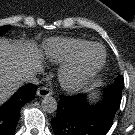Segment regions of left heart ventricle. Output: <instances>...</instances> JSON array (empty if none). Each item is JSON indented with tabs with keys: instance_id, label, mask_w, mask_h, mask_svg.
Here are the masks:
<instances>
[{
	"instance_id": "left-heart-ventricle-1",
	"label": "left heart ventricle",
	"mask_w": 135,
	"mask_h": 135,
	"mask_svg": "<svg viewBox=\"0 0 135 135\" xmlns=\"http://www.w3.org/2000/svg\"><path fill=\"white\" fill-rule=\"evenodd\" d=\"M102 58V50L99 47H93L89 53L87 58V63L89 66H92L98 63Z\"/></svg>"
}]
</instances>
